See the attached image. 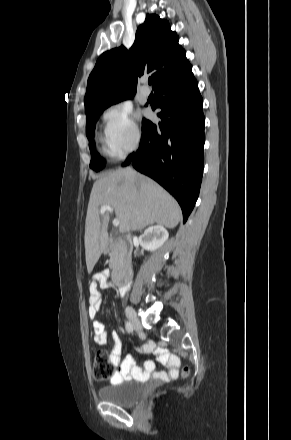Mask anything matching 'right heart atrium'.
I'll return each mask as SVG.
<instances>
[{"mask_svg": "<svg viewBox=\"0 0 291 440\" xmlns=\"http://www.w3.org/2000/svg\"><path fill=\"white\" fill-rule=\"evenodd\" d=\"M105 142L110 153L118 158L137 148L140 132L128 105L109 108L103 115Z\"/></svg>", "mask_w": 291, "mask_h": 440, "instance_id": "d8ad5b80", "label": "right heart atrium"}]
</instances>
